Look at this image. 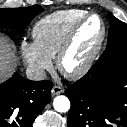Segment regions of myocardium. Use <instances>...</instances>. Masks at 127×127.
<instances>
[{"mask_svg":"<svg viewBox=\"0 0 127 127\" xmlns=\"http://www.w3.org/2000/svg\"><path fill=\"white\" fill-rule=\"evenodd\" d=\"M91 17H97L102 25V31H101L100 38H99L97 44L95 45V47L93 48V50L91 51L88 58L84 61V63H82L79 67H77L75 69L69 70L65 67V60L71 50V47L73 45V42L75 40V37H76L79 29ZM105 38H106V24H105L104 19L97 13H94V12L86 13L78 21H76V23L71 27V29L67 33L58 53L56 55V66H57L58 70L63 75H65L67 78H70V79H78V78L82 77L83 75H85L90 70V68L94 64L95 60L97 59V57L103 47V44L105 42Z\"/></svg>","mask_w":127,"mask_h":127,"instance_id":"f54148a6","label":"myocardium"}]
</instances>
